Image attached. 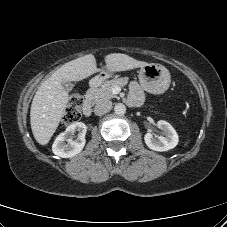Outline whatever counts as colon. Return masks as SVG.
I'll return each instance as SVG.
<instances>
[{"instance_id":"1","label":"colon","mask_w":227,"mask_h":227,"mask_svg":"<svg viewBox=\"0 0 227 227\" xmlns=\"http://www.w3.org/2000/svg\"><path fill=\"white\" fill-rule=\"evenodd\" d=\"M83 101V95L79 91L71 94L63 116L64 124H72L80 119Z\"/></svg>"}]
</instances>
